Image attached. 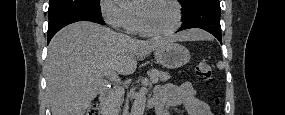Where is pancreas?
Listing matches in <instances>:
<instances>
[{"label": "pancreas", "instance_id": "obj_1", "mask_svg": "<svg viewBox=\"0 0 285 115\" xmlns=\"http://www.w3.org/2000/svg\"><path fill=\"white\" fill-rule=\"evenodd\" d=\"M148 75L153 82H158V81L166 82L171 78L167 72H163L157 69H152L148 73ZM123 94H124V89L120 86H117L110 91L108 95V103L111 109L118 111L122 102Z\"/></svg>", "mask_w": 285, "mask_h": 115}]
</instances>
